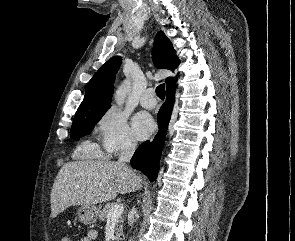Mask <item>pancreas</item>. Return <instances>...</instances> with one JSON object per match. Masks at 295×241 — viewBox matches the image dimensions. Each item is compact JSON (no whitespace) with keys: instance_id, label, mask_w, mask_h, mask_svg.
Segmentation results:
<instances>
[{"instance_id":"cf45deb5","label":"pancreas","mask_w":295,"mask_h":241,"mask_svg":"<svg viewBox=\"0 0 295 241\" xmlns=\"http://www.w3.org/2000/svg\"><path fill=\"white\" fill-rule=\"evenodd\" d=\"M115 205H116L115 203H108V204H106L104 206L103 210L100 213L99 219L101 221H105L106 219H108V213L110 212L111 208L113 206H115ZM122 223H123V219L122 218H118L117 219V227H116V235H115V240L116 241H119L121 235L123 234V231H122L123 225H122Z\"/></svg>"}]
</instances>
